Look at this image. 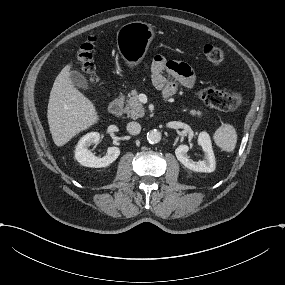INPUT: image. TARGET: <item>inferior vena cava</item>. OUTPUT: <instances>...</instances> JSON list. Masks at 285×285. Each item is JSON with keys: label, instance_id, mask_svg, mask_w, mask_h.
I'll list each match as a JSON object with an SVG mask.
<instances>
[{"label": "inferior vena cava", "instance_id": "obj_1", "mask_svg": "<svg viewBox=\"0 0 285 285\" xmlns=\"http://www.w3.org/2000/svg\"><path fill=\"white\" fill-rule=\"evenodd\" d=\"M127 131L131 134V135H137L140 133L141 131V126L139 123L137 122H129L127 124Z\"/></svg>", "mask_w": 285, "mask_h": 285}]
</instances>
